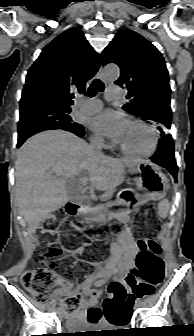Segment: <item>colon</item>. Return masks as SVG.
I'll return each mask as SVG.
<instances>
[{
  "label": "colon",
  "mask_w": 194,
  "mask_h": 336,
  "mask_svg": "<svg viewBox=\"0 0 194 336\" xmlns=\"http://www.w3.org/2000/svg\"><path fill=\"white\" fill-rule=\"evenodd\" d=\"M151 205H146L136 220L134 229L144 235L138 243V254L135 268L133 270L134 280L130 285L135 283L144 284L147 289L158 285L163 278V265L159 259L161 248L159 244L150 239L156 235L161 224L158 219L152 216ZM72 225L66 218L64 211H55L46 217L39 226V237L42 243V257L57 258L63 252L62 240L66 242V249L70 253H80L83 256L82 264L94 261L103 250L101 239H92L90 235L81 236L72 234ZM60 265L54 263L48 267L29 270L22 277L24 288L31 296L40 302H45L49 298L50 292L56 286H68L69 281L62 278L57 269ZM108 292L111 296L104 302V310L109 322L116 323L114 318L116 309L113 303L120 296L133 300L135 296L134 289L127 287L119 282L113 281L108 285ZM82 298L79 294H72L62 300V306L67 314H75L80 307Z\"/></svg>",
  "instance_id": "1"
}]
</instances>
